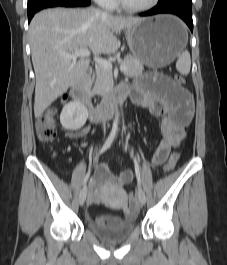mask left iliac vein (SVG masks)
Here are the masks:
<instances>
[{"label": "left iliac vein", "mask_w": 227, "mask_h": 265, "mask_svg": "<svg viewBox=\"0 0 227 265\" xmlns=\"http://www.w3.org/2000/svg\"><path fill=\"white\" fill-rule=\"evenodd\" d=\"M138 201L140 203L141 206H143L146 202V196L145 193L142 189L139 188L138 190Z\"/></svg>", "instance_id": "1"}]
</instances>
